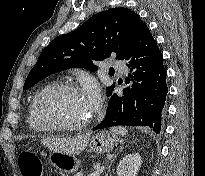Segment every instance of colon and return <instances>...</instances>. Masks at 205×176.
Returning a JSON list of instances; mask_svg holds the SVG:
<instances>
[{
    "label": "colon",
    "instance_id": "obj_1",
    "mask_svg": "<svg viewBox=\"0 0 205 176\" xmlns=\"http://www.w3.org/2000/svg\"><path fill=\"white\" fill-rule=\"evenodd\" d=\"M18 166L22 176H42L43 165L33 153L23 152L18 157Z\"/></svg>",
    "mask_w": 205,
    "mask_h": 176
}]
</instances>
